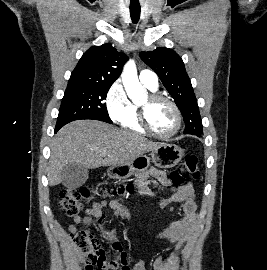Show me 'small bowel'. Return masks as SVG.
<instances>
[{"mask_svg":"<svg viewBox=\"0 0 267 270\" xmlns=\"http://www.w3.org/2000/svg\"><path fill=\"white\" fill-rule=\"evenodd\" d=\"M149 175L164 181V173L155 169L143 172L136 177V183L142 185L146 183ZM180 203L182 206L183 217L178 220L170 221L165 228L158 232L157 237L168 240L172 243L181 245L194 231L197 222V211L195 202V192L192 183H186L180 187L175 193L169 197L160 199L158 206L163 209L169 204ZM109 207L113 210L115 216L126 218L128 216V209L118 201L107 202L105 200L94 202L92 206L85 210L84 216H75L73 224L70 226L71 231H77L80 224L90 225L93 221L101 222L105 218L104 208ZM104 236L109 239H114V233L110 230L104 231ZM112 251L119 260L121 257H127L122 245L114 241L112 244ZM172 256L157 257L153 262V270H165L171 264ZM125 270H146L145 262L141 259L135 261L132 266L125 264Z\"/></svg>","mask_w":267,"mask_h":270,"instance_id":"obj_1","label":"small bowel"}]
</instances>
